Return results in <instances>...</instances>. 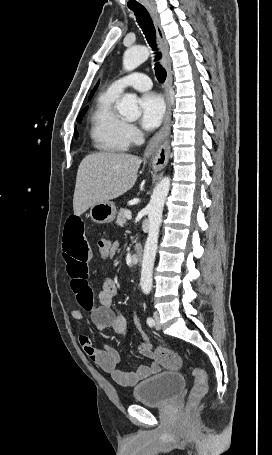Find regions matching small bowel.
<instances>
[{"mask_svg":"<svg viewBox=\"0 0 272 455\" xmlns=\"http://www.w3.org/2000/svg\"><path fill=\"white\" fill-rule=\"evenodd\" d=\"M62 249L70 277L71 290L78 304V308L71 311L72 318L81 323L84 314L88 313L98 330L111 329L116 334L125 336L128 331L126 319L113 310V298L117 293V285L112 278L103 279L98 303L94 302L88 276V264L92 258V250L85 236L84 222L80 217L71 216L66 221ZM118 249L119 243H110V256H114ZM135 325L144 337V342L139 346V353L145 358H151L153 356L152 345L144 334L138 318H135ZM79 343L87 356L123 387L134 386L160 371L158 363L140 365L135 371H123L119 368L120 354L113 347L105 345L103 349L96 348L86 334L80 335Z\"/></svg>","mask_w":272,"mask_h":455,"instance_id":"small-bowel-1","label":"small bowel"}]
</instances>
